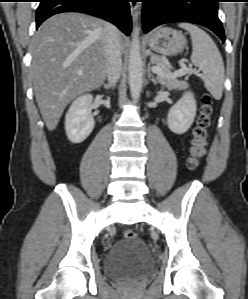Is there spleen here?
<instances>
[{
    "mask_svg": "<svg viewBox=\"0 0 248 299\" xmlns=\"http://www.w3.org/2000/svg\"><path fill=\"white\" fill-rule=\"evenodd\" d=\"M178 26L187 30L191 35V61L203 72L204 86L215 99H221L224 63L216 44L204 30L194 24L180 23Z\"/></svg>",
    "mask_w": 248,
    "mask_h": 299,
    "instance_id": "1",
    "label": "spleen"
}]
</instances>
